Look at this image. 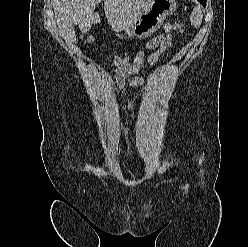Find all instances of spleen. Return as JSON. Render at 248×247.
Here are the masks:
<instances>
[{
    "label": "spleen",
    "instance_id": "obj_1",
    "mask_svg": "<svg viewBox=\"0 0 248 247\" xmlns=\"http://www.w3.org/2000/svg\"><path fill=\"white\" fill-rule=\"evenodd\" d=\"M191 23L194 27L199 28L202 20L203 14L200 7H195L190 16Z\"/></svg>",
    "mask_w": 248,
    "mask_h": 247
}]
</instances>
